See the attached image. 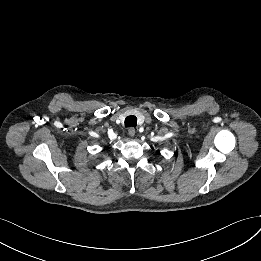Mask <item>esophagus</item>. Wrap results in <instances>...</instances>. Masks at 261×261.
Returning a JSON list of instances; mask_svg holds the SVG:
<instances>
[{"label":"esophagus","instance_id":"esophagus-1","mask_svg":"<svg viewBox=\"0 0 261 261\" xmlns=\"http://www.w3.org/2000/svg\"><path fill=\"white\" fill-rule=\"evenodd\" d=\"M135 128L134 127H130L129 129H128V134L131 136V137H133L134 135H135Z\"/></svg>","mask_w":261,"mask_h":261}]
</instances>
